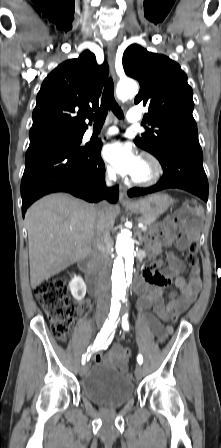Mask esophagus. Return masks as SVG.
<instances>
[{"label":"esophagus","instance_id":"1","mask_svg":"<svg viewBox=\"0 0 221 448\" xmlns=\"http://www.w3.org/2000/svg\"><path fill=\"white\" fill-rule=\"evenodd\" d=\"M115 55H116V44L114 42H110L108 45V59L111 65V69L113 72V76L115 80H117L116 70H115ZM127 188L122 186L120 188V202L122 204L131 203V200L127 197Z\"/></svg>","mask_w":221,"mask_h":448}]
</instances>
